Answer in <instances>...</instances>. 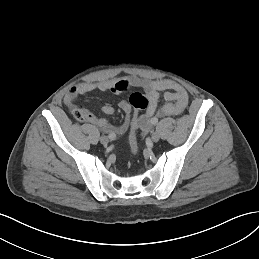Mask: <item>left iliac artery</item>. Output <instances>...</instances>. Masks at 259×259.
Listing matches in <instances>:
<instances>
[{
	"label": "left iliac artery",
	"mask_w": 259,
	"mask_h": 259,
	"mask_svg": "<svg viewBox=\"0 0 259 259\" xmlns=\"http://www.w3.org/2000/svg\"><path fill=\"white\" fill-rule=\"evenodd\" d=\"M151 123L153 125H156L158 123V118L157 117L152 118Z\"/></svg>",
	"instance_id": "obj_1"
}]
</instances>
